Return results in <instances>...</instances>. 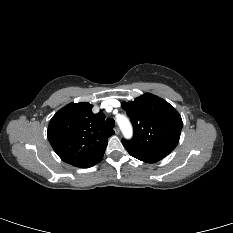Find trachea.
<instances>
[{
    "mask_svg": "<svg viewBox=\"0 0 233 233\" xmlns=\"http://www.w3.org/2000/svg\"><path fill=\"white\" fill-rule=\"evenodd\" d=\"M106 125L109 127V128H113L114 125H115V121L113 118H108L106 119Z\"/></svg>",
    "mask_w": 233,
    "mask_h": 233,
    "instance_id": "trachea-1",
    "label": "trachea"
}]
</instances>
